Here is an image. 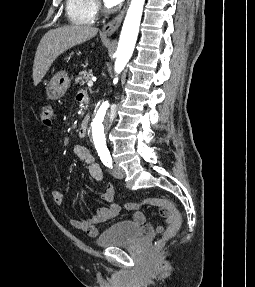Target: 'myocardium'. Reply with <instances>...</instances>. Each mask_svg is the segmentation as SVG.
<instances>
[{
	"instance_id": "f54148a6",
	"label": "myocardium",
	"mask_w": 255,
	"mask_h": 287,
	"mask_svg": "<svg viewBox=\"0 0 255 287\" xmlns=\"http://www.w3.org/2000/svg\"><path fill=\"white\" fill-rule=\"evenodd\" d=\"M101 33H107V32H101ZM110 39H117V38H110ZM127 48H129V47H127Z\"/></svg>"
}]
</instances>
